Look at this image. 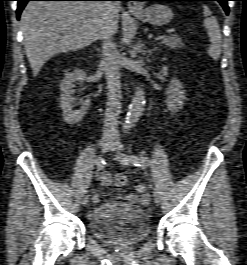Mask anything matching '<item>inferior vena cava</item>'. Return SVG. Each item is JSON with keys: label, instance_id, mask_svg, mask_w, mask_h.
I'll return each instance as SVG.
<instances>
[{"label": "inferior vena cava", "instance_id": "obj_1", "mask_svg": "<svg viewBox=\"0 0 247 265\" xmlns=\"http://www.w3.org/2000/svg\"><path fill=\"white\" fill-rule=\"evenodd\" d=\"M118 2L107 1L104 2L108 11L115 9ZM101 39L103 41V68L106 74L108 85V99L104 120V134L118 133V116L121 109V84L118 66V52L116 45L112 40V34L108 28H103L101 32Z\"/></svg>", "mask_w": 247, "mask_h": 265}]
</instances>
